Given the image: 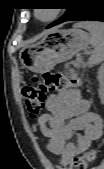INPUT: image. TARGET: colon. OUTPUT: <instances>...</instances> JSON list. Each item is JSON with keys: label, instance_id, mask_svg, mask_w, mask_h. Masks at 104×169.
Wrapping results in <instances>:
<instances>
[{"label": "colon", "instance_id": "obj_1", "mask_svg": "<svg viewBox=\"0 0 104 169\" xmlns=\"http://www.w3.org/2000/svg\"><path fill=\"white\" fill-rule=\"evenodd\" d=\"M80 85L75 77H68L60 72L45 71L32 77V84L23 88V98L28 114L31 118L37 117L44 106L46 95L53 90H65ZM96 151L89 150L76 156L67 169H86L95 159Z\"/></svg>", "mask_w": 104, "mask_h": 169}]
</instances>
